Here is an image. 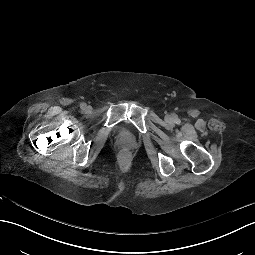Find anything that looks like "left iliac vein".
Segmentation results:
<instances>
[{
    "label": "left iliac vein",
    "instance_id": "1",
    "mask_svg": "<svg viewBox=\"0 0 255 255\" xmlns=\"http://www.w3.org/2000/svg\"><path fill=\"white\" fill-rule=\"evenodd\" d=\"M166 121H167L168 123L173 122L172 116H170V115L166 116Z\"/></svg>",
    "mask_w": 255,
    "mask_h": 255
}]
</instances>
